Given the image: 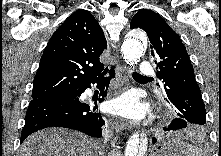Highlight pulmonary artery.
<instances>
[{
    "label": "pulmonary artery",
    "instance_id": "pulmonary-artery-1",
    "mask_svg": "<svg viewBox=\"0 0 221 156\" xmlns=\"http://www.w3.org/2000/svg\"><path fill=\"white\" fill-rule=\"evenodd\" d=\"M154 72L153 66L148 61H143L140 65V74L143 76L151 75Z\"/></svg>",
    "mask_w": 221,
    "mask_h": 156
}]
</instances>
